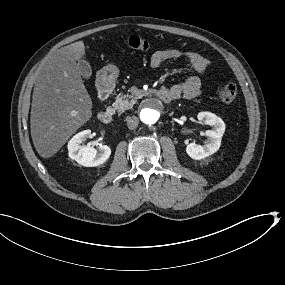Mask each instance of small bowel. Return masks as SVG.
<instances>
[{
    "instance_id": "small-bowel-1",
    "label": "small bowel",
    "mask_w": 285,
    "mask_h": 285,
    "mask_svg": "<svg viewBox=\"0 0 285 285\" xmlns=\"http://www.w3.org/2000/svg\"><path fill=\"white\" fill-rule=\"evenodd\" d=\"M168 60H184L197 75L187 77L183 82L170 88L175 95V99H194L200 96L203 88V80L209 68V61L193 51H183L179 49H164L155 51L150 57V65L153 68L160 67Z\"/></svg>"
}]
</instances>
